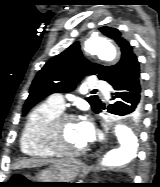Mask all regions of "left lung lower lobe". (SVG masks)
<instances>
[{
    "label": "left lung lower lobe",
    "mask_w": 160,
    "mask_h": 187,
    "mask_svg": "<svg viewBox=\"0 0 160 187\" xmlns=\"http://www.w3.org/2000/svg\"><path fill=\"white\" fill-rule=\"evenodd\" d=\"M112 97L115 102L107 108L101 104L97 113L106 109L108 112L126 116L136 123H139L143 113V92L140 80V66L137 57L129 61L126 69L112 83Z\"/></svg>",
    "instance_id": "1"
}]
</instances>
